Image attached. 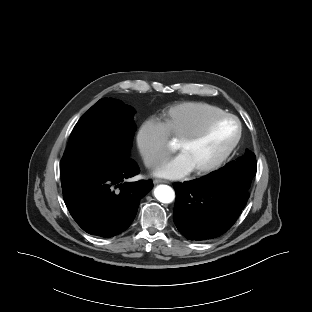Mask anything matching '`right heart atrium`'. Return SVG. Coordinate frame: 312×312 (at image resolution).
Here are the masks:
<instances>
[{
	"instance_id": "right-heart-atrium-1",
	"label": "right heart atrium",
	"mask_w": 312,
	"mask_h": 312,
	"mask_svg": "<svg viewBox=\"0 0 312 312\" xmlns=\"http://www.w3.org/2000/svg\"><path fill=\"white\" fill-rule=\"evenodd\" d=\"M137 146L148 168H155L168 157V133L159 119L149 117L142 122Z\"/></svg>"
}]
</instances>
